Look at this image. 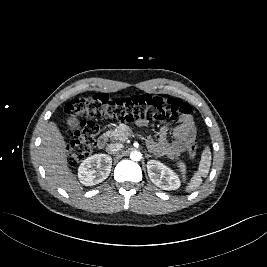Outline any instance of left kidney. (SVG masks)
Masks as SVG:
<instances>
[{
	"mask_svg": "<svg viewBox=\"0 0 267 267\" xmlns=\"http://www.w3.org/2000/svg\"><path fill=\"white\" fill-rule=\"evenodd\" d=\"M147 172L150 180L163 190H176L181 185L179 176L160 161L149 160L147 162Z\"/></svg>",
	"mask_w": 267,
	"mask_h": 267,
	"instance_id": "1",
	"label": "left kidney"
}]
</instances>
